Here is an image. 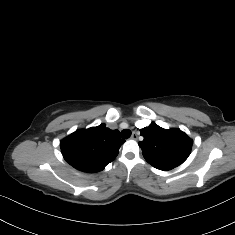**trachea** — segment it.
Instances as JSON below:
<instances>
[{"label":"trachea","mask_w":235,"mask_h":235,"mask_svg":"<svg viewBox=\"0 0 235 235\" xmlns=\"http://www.w3.org/2000/svg\"><path fill=\"white\" fill-rule=\"evenodd\" d=\"M131 136V131L128 129L122 130L121 131V137L123 139H128Z\"/></svg>","instance_id":"trachea-1"}]
</instances>
